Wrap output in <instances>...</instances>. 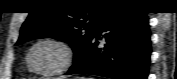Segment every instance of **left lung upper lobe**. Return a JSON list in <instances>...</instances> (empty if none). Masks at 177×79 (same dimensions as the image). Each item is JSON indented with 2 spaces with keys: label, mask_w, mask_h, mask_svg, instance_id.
I'll use <instances>...</instances> for the list:
<instances>
[{
  "label": "left lung upper lobe",
  "mask_w": 177,
  "mask_h": 79,
  "mask_svg": "<svg viewBox=\"0 0 177 79\" xmlns=\"http://www.w3.org/2000/svg\"><path fill=\"white\" fill-rule=\"evenodd\" d=\"M62 1H43L35 12H31L21 28L16 45L36 38L51 37L67 42L74 51V62L81 56L97 28L103 11L119 0L72 1L85 5L71 12L51 11ZM89 20V21H88Z\"/></svg>",
  "instance_id": "5c2ea615"
}]
</instances>
